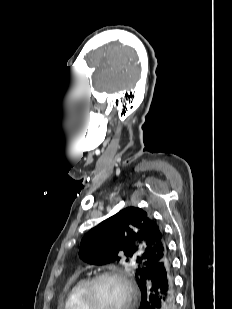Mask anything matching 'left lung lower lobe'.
I'll use <instances>...</instances> for the list:
<instances>
[{"instance_id":"left-lung-lower-lobe-1","label":"left lung lower lobe","mask_w":232,"mask_h":309,"mask_svg":"<svg viewBox=\"0 0 232 309\" xmlns=\"http://www.w3.org/2000/svg\"><path fill=\"white\" fill-rule=\"evenodd\" d=\"M139 287V309L176 308L173 265L169 254L148 270Z\"/></svg>"}]
</instances>
